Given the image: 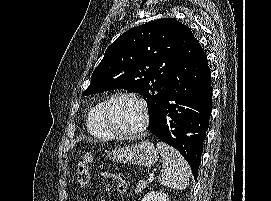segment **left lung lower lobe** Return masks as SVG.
Returning <instances> with one entry per match:
<instances>
[{
    "label": "left lung lower lobe",
    "mask_w": 271,
    "mask_h": 201,
    "mask_svg": "<svg viewBox=\"0 0 271 201\" xmlns=\"http://www.w3.org/2000/svg\"><path fill=\"white\" fill-rule=\"evenodd\" d=\"M210 79L206 54L191 30L183 28L169 88L148 131L183 155L195 179L212 108Z\"/></svg>",
    "instance_id": "left-lung-lower-lobe-1"
}]
</instances>
